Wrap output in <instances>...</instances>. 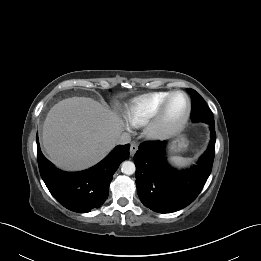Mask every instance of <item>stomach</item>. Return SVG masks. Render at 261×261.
Here are the masks:
<instances>
[{
    "label": "stomach",
    "mask_w": 261,
    "mask_h": 261,
    "mask_svg": "<svg viewBox=\"0 0 261 261\" xmlns=\"http://www.w3.org/2000/svg\"><path fill=\"white\" fill-rule=\"evenodd\" d=\"M188 140L185 136L180 135L175 140L172 141L171 145L169 146L170 153H182L187 149Z\"/></svg>",
    "instance_id": "obj_1"
}]
</instances>
